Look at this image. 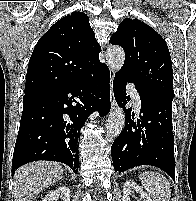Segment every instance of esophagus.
<instances>
[{
    "instance_id": "34e87169",
    "label": "esophagus",
    "mask_w": 196,
    "mask_h": 201,
    "mask_svg": "<svg viewBox=\"0 0 196 201\" xmlns=\"http://www.w3.org/2000/svg\"><path fill=\"white\" fill-rule=\"evenodd\" d=\"M113 76L111 77L110 79V92H111V108L112 109H115L117 107V104H116V100H115V97H114V91H113Z\"/></svg>"
}]
</instances>
